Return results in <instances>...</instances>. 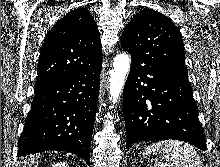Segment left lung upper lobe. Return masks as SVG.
I'll use <instances>...</instances> for the list:
<instances>
[{
  "label": "left lung upper lobe",
  "mask_w": 220,
  "mask_h": 167,
  "mask_svg": "<svg viewBox=\"0 0 220 167\" xmlns=\"http://www.w3.org/2000/svg\"><path fill=\"white\" fill-rule=\"evenodd\" d=\"M121 39L122 48L136 63L187 76L181 33L163 14L141 10L128 23Z\"/></svg>",
  "instance_id": "left-lung-upper-lobe-1"
}]
</instances>
